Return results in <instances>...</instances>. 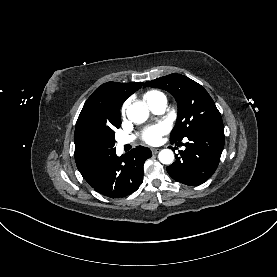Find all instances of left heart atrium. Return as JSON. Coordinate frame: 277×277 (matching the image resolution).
<instances>
[{"label":"left heart atrium","instance_id":"39dd6f15","mask_svg":"<svg viewBox=\"0 0 277 277\" xmlns=\"http://www.w3.org/2000/svg\"><path fill=\"white\" fill-rule=\"evenodd\" d=\"M168 129V125L164 122L153 125L144 131L143 140L148 144H157Z\"/></svg>","mask_w":277,"mask_h":277}]
</instances>
